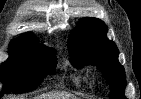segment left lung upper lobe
Wrapping results in <instances>:
<instances>
[{
  "label": "left lung upper lobe",
  "mask_w": 141,
  "mask_h": 99,
  "mask_svg": "<svg viewBox=\"0 0 141 99\" xmlns=\"http://www.w3.org/2000/svg\"><path fill=\"white\" fill-rule=\"evenodd\" d=\"M107 31L106 25L97 18L82 19L68 40L71 62L77 68L96 65L110 85V97L126 99L124 67L118 62L116 44L106 37Z\"/></svg>",
  "instance_id": "left-lung-upper-lobe-1"
}]
</instances>
